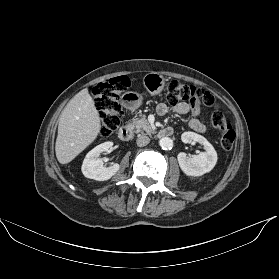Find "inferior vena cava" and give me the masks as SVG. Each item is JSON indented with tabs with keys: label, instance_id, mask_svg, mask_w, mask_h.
I'll use <instances>...</instances> for the list:
<instances>
[{
	"label": "inferior vena cava",
	"instance_id": "602c4592",
	"mask_svg": "<svg viewBox=\"0 0 279 279\" xmlns=\"http://www.w3.org/2000/svg\"><path fill=\"white\" fill-rule=\"evenodd\" d=\"M149 142H150V139L148 136L143 135V134H139L137 136V139H136L137 146L143 147V146H146Z\"/></svg>",
	"mask_w": 279,
	"mask_h": 279
}]
</instances>
